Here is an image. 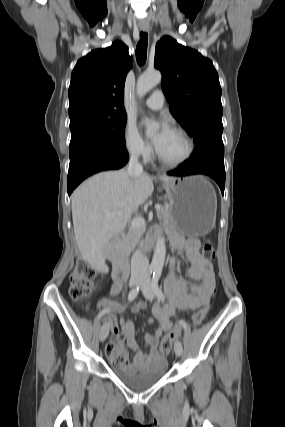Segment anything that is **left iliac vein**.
<instances>
[{
    "instance_id": "4c4485c4",
    "label": "left iliac vein",
    "mask_w": 285,
    "mask_h": 427,
    "mask_svg": "<svg viewBox=\"0 0 285 427\" xmlns=\"http://www.w3.org/2000/svg\"><path fill=\"white\" fill-rule=\"evenodd\" d=\"M141 291L146 299L150 301L153 300L154 290L152 288L151 281L148 276H146L141 283ZM174 351L177 356H181L183 353V346L179 340H177L174 344Z\"/></svg>"
}]
</instances>
